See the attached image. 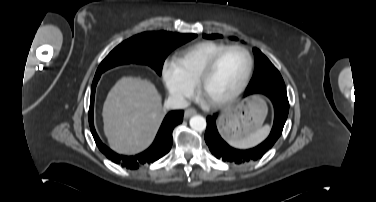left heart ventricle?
Masks as SVG:
<instances>
[{"label":"left heart ventricle","mask_w":376,"mask_h":202,"mask_svg":"<svg viewBox=\"0 0 376 202\" xmlns=\"http://www.w3.org/2000/svg\"><path fill=\"white\" fill-rule=\"evenodd\" d=\"M247 68V58L239 50L227 52L206 84L210 99H219L231 93L241 82Z\"/></svg>","instance_id":"left-heart-ventricle-1"}]
</instances>
